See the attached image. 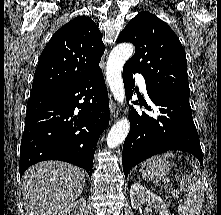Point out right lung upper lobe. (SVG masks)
Returning <instances> with one entry per match:
<instances>
[{
  "label": "right lung upper lobe",
  "mask_w": 221,
  "mask_h": 215,
  "mask_svg": "<svg viewBox=\"0 0 221 215\" xmlns=\"http://www.w3.org/2000/svg\"><path fill=\"white\" fill-rule=\"evenodd\" d=\"M105 45L97 25L79 16L62 26L41 53L30 97L64 88L99 68Z\"/></svg>",
  "instance_id": "cb5924a9"
}]
</instances>
